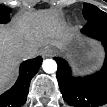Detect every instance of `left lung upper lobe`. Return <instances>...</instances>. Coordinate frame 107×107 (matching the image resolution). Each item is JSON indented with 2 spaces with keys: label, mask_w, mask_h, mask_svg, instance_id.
Masks as SVG:
<instances>
[{
  "label": "left lung upper lobe",
  "mask_w": 107,
  "mask_h": 107,
  "mask_svg": "<svg viewBox=\"0 0 107 107\" xmlns=\"http://www.w3.org/2000/svg\"><path fill=\"white\" fill-rule=\"evenodd\" d=\"M83 15L87 21H91L99 17H105L107 16V13L101 11L99 8L92 4L84 3Z\"/></svg>",
  "instance_id": "left-lung-upper-lobe-1"
}]
</instances>
